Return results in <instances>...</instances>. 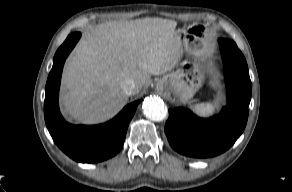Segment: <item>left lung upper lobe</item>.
Listing matches in <instances>:
<instances>
[{
  "label": "left lung upper lobe",
  "instance_id": "obj_1",
  "mask_svg": "<svg viewBox=\"0 0 292 192\" xmlns=\"http://www.w3.org/2000/svg\"><path fill=\"white\" fill-rule=\"evenodd\" d=\"M221 41H223L225 44H229V45H235V42L229 39H220Z\"/></svg>",
  "mask_w": 292,
  "mask_h": 192
}]
</instances>
